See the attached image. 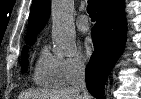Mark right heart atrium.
<instances>
[{
  "label": "right heart atrium",
  "mask_w": 141,
  "mask_h": 99,
  "mask_svg": "<svg viewBox=\"0 0 141 99\" xmlns=\"http://www.w3.org/2000/svg\"><path fill=\"white\" fill-rule=\"evenodd\" d=\"M86 68V60L80 54L60 57V71L63 82L70 83L81 76Z\"/></svg>",
  "instance_id": "right-heart-atrium-1"
}]
</instances>
